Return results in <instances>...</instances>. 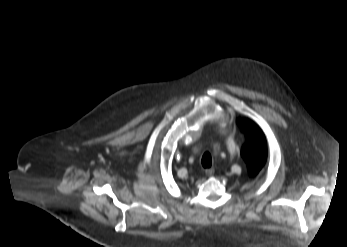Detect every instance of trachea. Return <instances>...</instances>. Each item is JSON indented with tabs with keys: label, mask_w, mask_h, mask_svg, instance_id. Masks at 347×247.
I'll list each match as a JSON object with an SVG mask.
<instances>
[{
	"label": "trachea",
	"mask_w": 347,
	"mask_h": 247,
	"mask_svg": "<svg viewBox=\"0 0 347 247\" xmlns=\"http://www.w3.org/2000/svg\"><path fill=\"white\" fill-rule=\"evenodd\" d=\"M202 165L204 168H209L212 165V159L210 154L205 153L202 157Z\"/></svg>",
	"instance_id": "3493384b"
}]
</instances>
